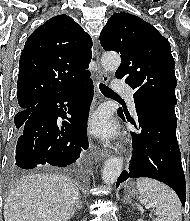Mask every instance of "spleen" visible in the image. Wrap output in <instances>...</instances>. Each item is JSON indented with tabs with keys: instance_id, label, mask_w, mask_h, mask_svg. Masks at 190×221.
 I'll return each instance as SVG.
<instances>
[{
	"instance_id": "spleen-1",
	"label": "spleen",
	"mask_w": 190,
	"mask_h": 221,
	"mask_svg": "<svg viewBox=\"0 0 190 221\" xmlns=\"http://www.w3.org/2000/svg\"><path fill=\"white\" fill-rule=\"evenodd\" d=\"M136 186L141 198L155 208L160 221H182L181 202L171 188L150 178H139Z\"/></svg>"
}]
</instances>
